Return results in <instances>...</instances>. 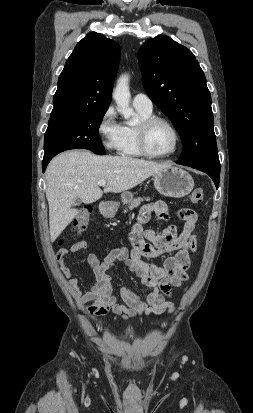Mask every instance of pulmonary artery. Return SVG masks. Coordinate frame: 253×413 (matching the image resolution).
Segmentation results:
<instances>
[{
  "mask_svg": "<svg viewBox=\"0 0 253 413\" xmlns=\"http://www.w3.org/2000/svg\"><path fill=\"white\" fill-rule=\"evenodd\" d=\"M133 105L136 109H140L146 112H152L153 109L152 100L143 93H138L133 97Z\"/></svg>",
  "mask_w": 253,
  "mask_h": 413,
  "instance_id": "1",
  "label": "pulmonary artery"
}]
</instances>
